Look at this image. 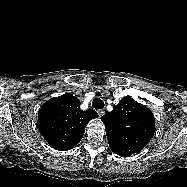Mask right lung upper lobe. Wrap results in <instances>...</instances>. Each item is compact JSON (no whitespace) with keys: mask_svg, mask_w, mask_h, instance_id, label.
Masks as SVG:
<instances>
[{"mask_svg":"<svg viewBox=\"0 0 187 187\" xmlns=\"http://www.w3.org/2000/svg\"><path fill=\"white\" fill-rule=\"evenodd\" d=\"M96 117V111H81L78 98L66 93L41 106L37 125L49 145L59 151H67L80 142L88 122Z\"/></svg>","mask_w":187,"mask_h":187,"instance_id":"obj_1","label":"right lung upper lobe"}]
</instances>
